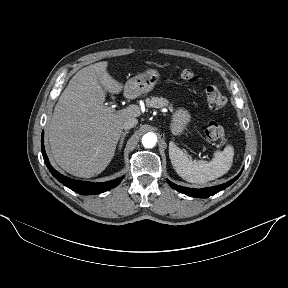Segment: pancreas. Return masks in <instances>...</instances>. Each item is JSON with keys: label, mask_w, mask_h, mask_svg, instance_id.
Segmentation results:
<instances>
[{"label": "pancreas", "mask_w": 288, "mask_h": 288, "mask_svg": "<svg viewBox=\"0 0 288 288\" xmlns=\"http://www.w3.org/2000/svg\"><path fill=\"white\" fill-rule=\"evenodd\" d=\"M146 106L152 108H168L170 111L173 110L172 104L169 101L162 97H152L151 99H146Z\"/></svg>", "instance_id": "obj_1"}]
</instances>
